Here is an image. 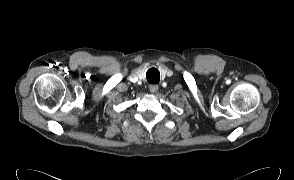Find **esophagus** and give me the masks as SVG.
<instances>
[{
  "label": "esophagus",
  "mask_w": 294,
  "mask_h": 180,
  "mask_svg": "<svg viewBox=\"0 0 294 180\" xmlns=\"http://www.w3.org/2000/svg\"><path fill=\"white\" fill-rule=\"evenodd\" d=\"M158 90H159V87L158 86H152V87H150V91L152 93H157Z\"/></svg>",
  "instance_id": "obj_1"
}]
</instances>
